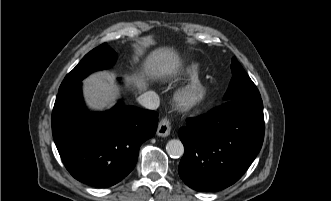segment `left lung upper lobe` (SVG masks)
<instances>
[{
    "mask_svg": "<svg viewBox=\"0 0 331 201\" xmlns=\"http://www.w3.org/2000/svg\"><path fill=\"white\" fill-rule=\"evenodd\" d=\"M232 79L227 89L224 100L230 101L239 98L260 96L256 85L238 63L236 58H232Z\"/></svg>",
    "mask_w": 331,
    "mask_h": 201,
    "instance_id": "left-lung-upper-lobe-1",
    "label": "left lung upper lobe"
}]
</instances>
